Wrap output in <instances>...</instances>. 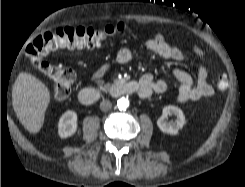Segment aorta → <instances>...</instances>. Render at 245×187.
<instances>
[{"label":"aorta","instance_id":"aorta-1","mask_svg":"<svg viewBox=\"0 0 245 187\" xmlns=\"http://www.w3.org/2000/svg\"><path fill=\"white\" fill-rule=\"evenodd\" d=\"M129 106V100L125 97H122L117 100V107L120 111H124L128 108Z\"/></svg>","mask_w":245,"mask_h":187}]
</instances>
